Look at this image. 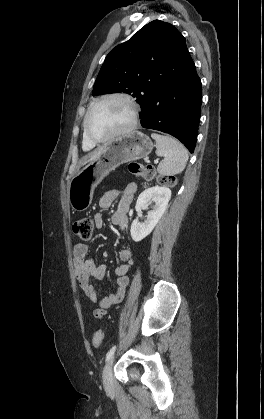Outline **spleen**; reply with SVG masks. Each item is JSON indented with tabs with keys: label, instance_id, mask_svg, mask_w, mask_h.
<instances>
[{
	"label": "spleen",
	"instance_id": "spleen-1",
	"mask_svg": "<svg viewBox=\"0 0 264 419\" xmlns=\"http://www.w3.org/2000/svg\"><path fill=\"white\" fill-rule=\"evenodd\" d=\"M151 137L156 141L157 156L164 157L157 167L158 172L165 176L181 173L188 161L186 148L171 136L152 133Z\"/></svg>",
	"mask_w": 264,
	"mask_h": 419
}]
</instances>
